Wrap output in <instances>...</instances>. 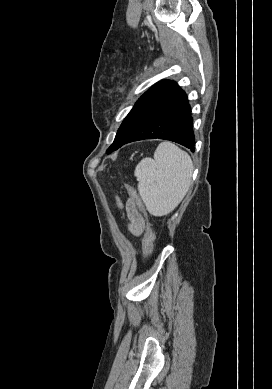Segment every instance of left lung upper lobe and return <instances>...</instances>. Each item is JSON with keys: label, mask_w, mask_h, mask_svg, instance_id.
Instances as JSON below:
<instances>
[{"label": "left lung upper lobe", "mask_w": 272, "mask_h": 389, "mask_svg": "<svg viewBox=\"0 0 272 389\" xmlns=\"http://www.w3.org/2000/svg\"><path fill=\"white\" fill-rule=\"evenodd\" d=\"M169 80H162L153 85L148 91H146L135 103L132 110L129 112L127 117L123 120L120 128L118 129V132L116 134L115 140L113 144L108 148L107 153H111L118 149L122 139L124 136L128 133V131L131 129L133 124L137 121L139 118L142 110L144 109L145 105L149 101V99L162 87H164L166 84H168Z\"/></svg>", "instance_id": "1"}]
</instances>
